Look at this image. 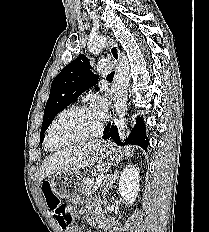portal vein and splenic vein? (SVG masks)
<instances>
[{"label": "portal vein and splenic vein", "instance_id": "1", "mask_svg": "<svg viewBox=\"0 0 209 232\" xmlns=\"http://www.w3.org/2000/svg\"><path fill=\"white\" fill-rule=\"evenodd\" d=\"M102 179H103V175H101L100 176V179H98L97 181H96V183H95V185L93 186V191H95V190H97L99 187H100V185H101V183H102Z\"/></svg>", "mask_w": 209, "mask_h": 232}]
</instances>
